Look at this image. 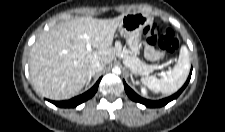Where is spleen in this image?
Returning <instances> with one entry per match:
<instances>
[{"mask_svg":"<svg viewBox=\"0 0 225 132\" xmlns=\"http://www.w3.org/2000/svg\"><path fill=\"white\" fill-rule=\"evenodd\" d=\"M189 70V52L186 46H182L178 62L170 74L161 79H157L154 76L145 77L142 79V82L156 93L171 94L176 92L185 83Z\"/></svg>","mask_w":225,"mask_h":132,"instance_id":"3e777b00","label":"spleen"}]
</instances>
